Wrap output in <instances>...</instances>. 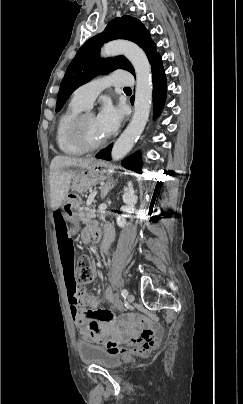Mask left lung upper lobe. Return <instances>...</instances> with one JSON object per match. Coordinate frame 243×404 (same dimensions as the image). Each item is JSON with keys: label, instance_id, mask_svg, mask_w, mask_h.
I'll return each mask as SVG.
<instances>
[{"label": "left lung upper lobe", "instance_id": "left-lung-upper-lobe-1", "mask_svg": "<svg viewBox=\"0 0 243 404\" xmlns=\"http://www.w3.org/2000/svg\"><path fill=\"white\" fill-rule=\"evenodd\" d=\"M114 39H128L138 44L146 53L149 62L159 54L144 25L137 19L125 15L111 20L105 30L88 39L69 64L58 92L56 111H59L69 96L81 85L99 74H107L116 69H124L135 74L132 64L124 57L100 59L99 51L103 43Z\"/></svg>", "mask_w": 243, "mask_h": 404}]
</instances>
